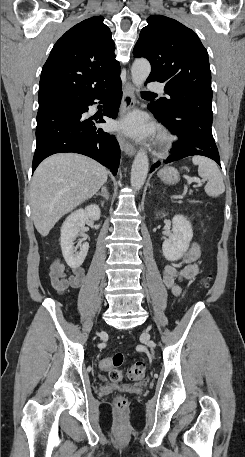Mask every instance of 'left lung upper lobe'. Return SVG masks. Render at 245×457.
<instances>
[{
	"instance_id": "1",
	"label": "left lung upper lobe",
	"mask_w": 245,
	"mask_h": 457,
	"mask_svg": "<svg viewBox=\"0 0 245 457\" xmlns=\"http://www.w3.org/2000/svg\"><path fill=\"white\" fill-rule=\"evenodd\" d=\"M133 49L134 57H144L152 71L147 81L165 84L168 98L156 105L162 112L202 110L212 112L211 71L208 54L198 36L180 22L152 15Z\"/></svg>"
}]
</instances>
